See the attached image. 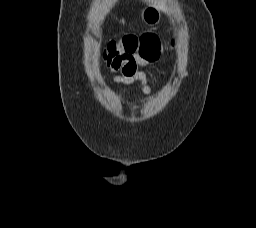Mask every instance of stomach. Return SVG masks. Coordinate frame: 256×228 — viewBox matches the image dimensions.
Masks as SVG:
<instances>
[{
	"mask_svg": "<svg viewBox=\"0 0 256 228\" xmlns=\"http://www.w3.org/2000/svg\"><path fill=\"white\" fill-rule=\"evenodd\" d=\"M142 20L145 24L154 26L160 21V15L158 11L154 8H146L142 12Z\"/></svg>",
	"mask_w": 256,
	"mask_h": 228,
	"instance_id": "stomach-1",
	"label": "stomach"
}]
</instances>
